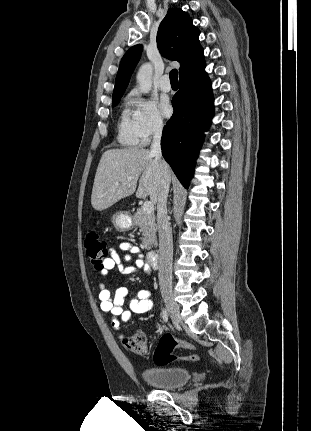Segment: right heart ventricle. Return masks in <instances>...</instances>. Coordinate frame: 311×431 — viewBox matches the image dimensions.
Returning a JSON list of instances; mask_svg holds the SVG:
<instances>
[{"instance_id":"right-heart-ventricle-1","label":"right heart ventricle","mask_w":311,"mask_h":431,"mask_svg":"<svg viewBox=\"0 0 311 431\" xmlns=\"http://www.w3.org/2000/svg\"><path fill=\"white\" fill-rule=\"evenodd\" d=\"M116 138L123 147H137L141 142V129L129 108H123L119 114Z\"/></svg>"}]
</instances>
